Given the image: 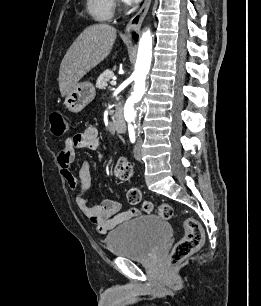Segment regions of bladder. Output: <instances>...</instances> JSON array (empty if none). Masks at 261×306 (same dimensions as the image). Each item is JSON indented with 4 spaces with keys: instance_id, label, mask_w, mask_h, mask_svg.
I'll list each match as a JSON object with an SVG mask.
<instances>
[{
    "instance_id": "31cf9c89",
    "label": "bladder",
    "mask_w": 261,
    "mask_h": 306,
    "mask_svg": "<svg viewBox=\"0 0 261 306\" xmlns=\"http://www.w3.org/2000/svg\"><path fill=\"white\" fill-rule=\"evenodd\" d=\"M169 223L159 215H141L127 221L106 237L111 254L133 261H146L170 239Z\"/></svg>"
}]
</instances>
